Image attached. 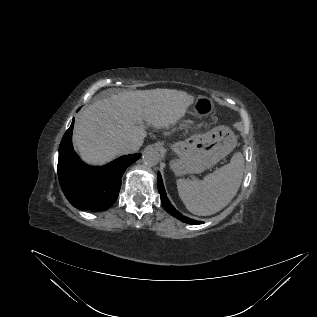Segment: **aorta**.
<instances>
[{
  "mask_svg": "<svg viewBox=\"0 0 317 317\" xmlns=\"http://www.w3.org/2000/svg\"><path fill=\"white\" fill-rule=\"evenodd\" d=\"M142 160L146 166L153 167L159 163L160 154L155 148L148 147L142 154Z\"/></svg>",
  "mask_w": 317,
  "mask_h": 317,
  "instance_id": "1",
  "label": "aorta"
}]
</instances>
